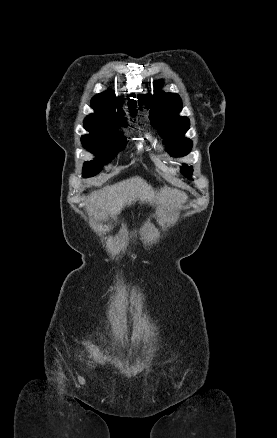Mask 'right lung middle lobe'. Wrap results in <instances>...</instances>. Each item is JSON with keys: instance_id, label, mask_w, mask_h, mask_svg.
Wrapping results in <instances>:
<instances>
[{"instance_id": "obj_1", "label": "right lung middle lobe", "mask_w": 277, "mask_h": 438, "mask_svg": "<svg viewBox=\"0 0 277 438\" xmlns=\"http://www.w3.org/2000/svg\"><path fill=\"white\" fill-rule=\"evenodd\" d=\"M127 125L118 123L104 127H87L88 135L82 137L83 146L93 154L99 155L94 161L85 162L83 177H91L98 174L101 166L110 162L115 154L126 144L125 137L121 132L116 131L119 126Z\"/></svg>"}]
</instances>
